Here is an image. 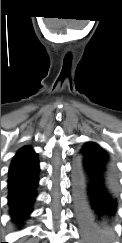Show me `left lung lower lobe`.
Segmentation results:
<instances>
[{"mask_svg": "<svg viewBox=\"0 0 122 243\" xmlns=\"http://www.w3.org/2000/svg\"><path fill=\"white\" fill-rule=\"evenodd\" d=\"M76 207L84 243H111L118 209V179L107 153L97 148L77 158L73 170Z\"/></svg>", "mask_w": 122, "mask_h": 243, "instance_id": "1", "label": "left lung lower lobe"}]
</instances>
